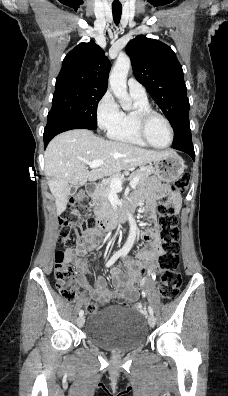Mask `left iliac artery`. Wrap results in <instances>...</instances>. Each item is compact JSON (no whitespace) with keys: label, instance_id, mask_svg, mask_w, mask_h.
<instances>
[{"label":"left iliac artery","instance_id":"44dca946","mask_svg":"<svg viewBox=\"0 0 228 396\" xmlns=\"http://www.w3.org/2000/svg\"><path fill=\"white\" fill-rule=\"evenodd\" d=\"M126 254H127V253H123V255H122V256H123V257H125V256H126ZM148 311H149V313H150L151 315H153V314H154V312H153V309H152V307H151L150 305L148 306Z\"/></svg>","mask_w":228,"mask_h":396}]
</instances>
